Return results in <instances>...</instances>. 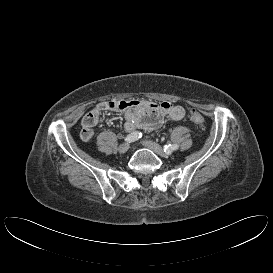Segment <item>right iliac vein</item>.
Segmentation results:
<instances>
[{"label":"right iliac vein","mask_w":273,"mask_h":273,"mask_svg":"<svg viewBox=\"0 0 273 273\" xmlns=\"http://www.w3.org/2000/svg\"><path fill=\"white\" fill-rule=\"evenodd\" d=\"M128 149H129V144L128 143H123L118 147V151L120 153H125V152L128 151Z\"/></svg>","instance_id":"63e3f726"}]
</instances>
